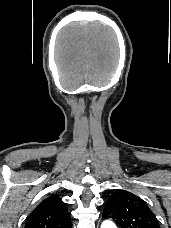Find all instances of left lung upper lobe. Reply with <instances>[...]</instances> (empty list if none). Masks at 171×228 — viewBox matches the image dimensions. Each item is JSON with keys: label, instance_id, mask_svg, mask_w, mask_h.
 Returning <instances> with one entry per match:
<instances>
[{"label": "left lung upper lobe", "instance_id": "obj_1", "mask_svg": "<svg viewBox=\"0 0 171 228\" xmlns=\"http://www.w3.org/2000/svg\"><path fill=\"white\" fill-rule=\"evenodd\" d=\"M103 218H112L121 228H160L156 216L143 200L126 190H116L107 201Z\"/></svg>", "mask_w": 171, "mask_h": 228}]
</instances>
